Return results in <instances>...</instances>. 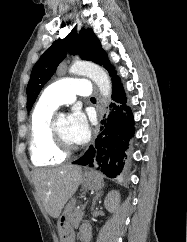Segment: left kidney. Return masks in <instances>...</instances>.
<instances>
[{
	"mask_svg": "<svg viewBox=\"0 0 187 242\" xmlns=\"http://www.w3.org/2000/svg\"><path fill=\"white\" fill-rule=\"evenodd\" d=\"M120 202V194L118 191L113 190L108 193L105 198L104 204L108 211L113 212L117 209V206Z\"/></svg>",
	"mask_w": 187,
	"mask_h": 242,
	"instance_id": "obj_1",
	"label": "left kidney"
}]
</instances>
